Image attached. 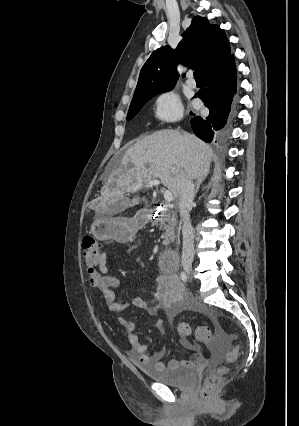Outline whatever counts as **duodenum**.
Instances as JSON below:
<instances>
[{
    "mask_svg": "<svg viewBox=\"0 0 299 426\" xmlns=\"http://www.w3.org/2000/svg\"><path fill=\"white\" fill-rule=\"evenodd\" d=\"M178 261V253L174 249L165 250L159 256V266L162 270H173Z\"/></svg>",
    "mask_w": 299,
    "mask_h": 426,
    "instance_id": "duodenum-1",
    "label": "duodenum"
}]
</instances>
